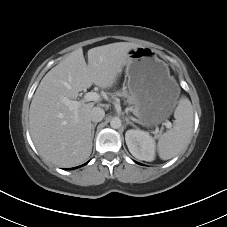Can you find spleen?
<instances>
[{"mask_svg":"<svg viewBox=\"0 0 227 227\" xmlns=\"http://www.w3.org/2000/svg\"><path fill=\"white\" fill-rule=\"evenodd\" d=\"M175 125L158 140V154L163 160L171 159L183 151L193 130V108L188 98L182 97L174 112Z\"/></svg>","mask_w":227,"mask_h":227,"instance_id":"3e777b00","label":"spleen"}]
</instances>
